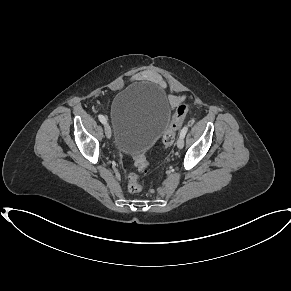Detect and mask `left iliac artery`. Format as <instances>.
Masks as SVG:
<instances>
[{"mask_svg":"<svg viewBox=\"0 0 291 291\" xmlns=\"http://www.w3.org/2000/svg\"><path fill=\"white\" fill-rule=\"evenodd\" d=\"M187 131H188V126L183 127V129L180 132V136L185 137Z\"/></svg>","mask_w":291,"mask_h":291,"instance_id":"left-iliac-artery-1","label":"left iliac artery"}]
</instances>
